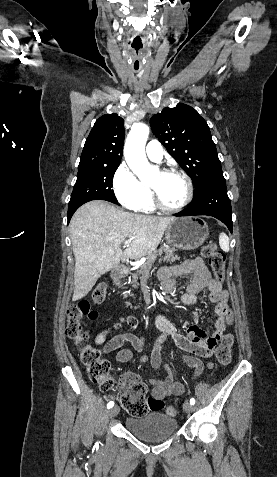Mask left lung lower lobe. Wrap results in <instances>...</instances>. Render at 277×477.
I'll return each mask as SVG.
<instances>
[{
	"label": "left lung lower lobe",
	"mask_w": 277,
	"mask_h": 477,
	"mask_svg": "<svg viewBox=\"0 0 277 477\" xmlns=\"http://www.w3.org/2000/svg\"><path fill=\"white\" fill-rule=\"evenodd\" d=\"M208 215L222 221L232 233V209L223 172L209 175L196 190L194 202L175 216Z\"/></svg>",
	"instance_id": "0a47b994"
}]
</instances>
